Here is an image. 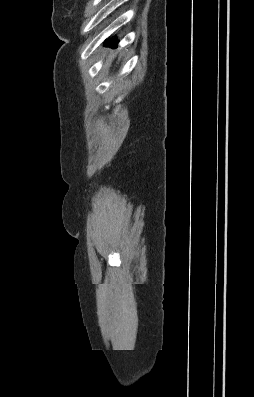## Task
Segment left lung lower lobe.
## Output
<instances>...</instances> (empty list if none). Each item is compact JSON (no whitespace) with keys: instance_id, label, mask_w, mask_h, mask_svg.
Wrapping results in <instances>:
<instances>
[{"instance_id":"obj_1","label":"left lung lower lobe","mask_w":254,"mask_h":397,"mask_svg":"<svg viewBox=\"0 0 254 397\" xmlns=\"http://www.w3.org/2000/svg\"><path fill=\"white\" fill-rule=\"evenodd\" d=\"M105 45H106V46H112V47H114V48L117 47V43H115V42L109 43L108 41H106V42H105Z\"/></svg>"}]
</instances>
